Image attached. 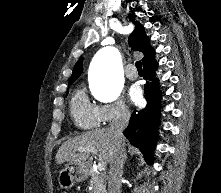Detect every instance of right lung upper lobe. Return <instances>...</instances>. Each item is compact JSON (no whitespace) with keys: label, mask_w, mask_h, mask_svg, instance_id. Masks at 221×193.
<instances>
[{"label":"right lung upper lobe","mask_w":221,"mask_h":193,"mask_svg":"<svg viewBox=\"0 0 221 193\" xmlns=\"http://www.w3.org/2000/svg\"><path fill=\"white\" fill-rule=\"evenodd\" d=\"M129 44L133 50L140 51L144 54L142 59L143 67L156 62L154 59L155 51L150 46L149 39L145 35L144 28L138 21L135 22V30L129 37ZM82 60V58L79 59L75 64L69 83L74 82L82 73Z\"/></svg>","instance_id":"cb5924a9"}]
</instances>
